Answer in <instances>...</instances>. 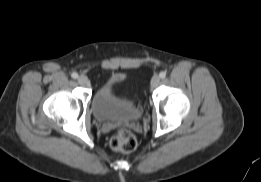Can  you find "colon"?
I'll return each mask as SVG.
<instances>
[{
	"label": "colon",
	"mask_w": 261,
	"mask_h": 182,
	"mask_svg": "<svg viewBox=\"0 0 261 182\" xmlns=\"http://www.w3.org/2000/svg\"><path fill=\"white\" fill-rule=\"evenodd\" d=\"M109 145L114 151L131 152L136 148L137 140L132 132L121 128L111 137Z\"/></svg>",
	"instance_id": "colon-1"
}]
</instances>
